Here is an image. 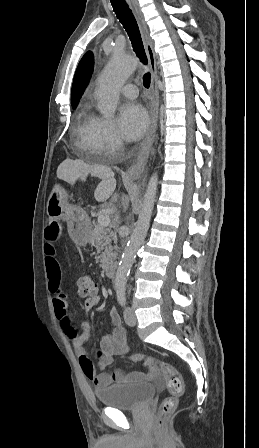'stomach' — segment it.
<instances>
[{
  "mask_svg": "<svg viewBox=\"0 0 259 448\" xmlns=\"http://www.w3.org/2000/svg\"><path fill=\"white\" fill-rule=\"evenodd\" d=\"M67 192L60 186L55 184L47 202V216L51 220L67 221L69 234L78 246H85L92 240V230L90 226L89 214L85 212L83 206H62L64 200H67Z\"/></svg>",
  "mask_w": 259,
  "mask_h": 448,
  "instance_id": "0dacf381",
  "label": "stomach"
}]
</instances>
